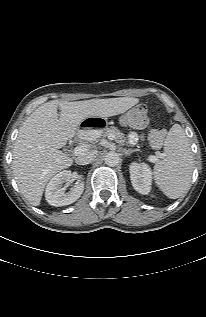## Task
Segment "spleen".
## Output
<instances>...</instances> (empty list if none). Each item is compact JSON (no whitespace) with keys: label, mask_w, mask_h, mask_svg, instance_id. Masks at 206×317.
<instances>
[{"label":"spleen","mask_w":206,"mask_h":317,"mask_svg":"<svg viewBox=\"0 0 206 317\" xmlns=\"http://www.w3.org/2000/svg\"><path fill=\"white\" fill-rule=\"evenodd\" d=\"M193 169L188 138L183 128L174 124L164 141V159L153 170L155 183L167 197L177 199L188 190Z\"/></svg>","instance_id":"1"}]
</instances>
